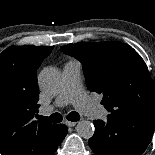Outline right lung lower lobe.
Segmentation results:
<instances>
[{"instance_id":"obj_1","label":"right lung lower lobe","mask_w":155,"mask_h":155,"mask_svg":"<svg viewBox=\"0 0 155 155\" xmlns=\"http://www.w3.org/2000/svg\"><path fill=\"white\" fill-rule=\"evenodd\" d=\"M67 132H68V129H67L66 125H62V124L58 125V138H57L55 144L49 150V153L47 155H53V153L56 151L57 147L61 144V142L65 138Z\"/></svg>"}]
</instances>
